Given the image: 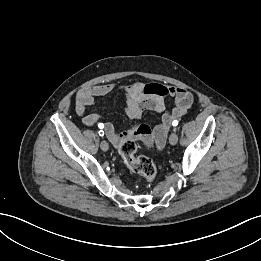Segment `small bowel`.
Masks as SVG:
<instances>
[{
  "label": "small bowel",
  "instance_id": "small-bowel-1",
  "mask_svg": "<svg viewBox=\"0 0 261 261\" xmlns=\"http://www.w3.org/2000/svg\"><path fill=\"white\" fill-rule=\"evenodd\" d=\"M115 91L123 95L126 114L136 122L131 129L120 133L115 130L113 124L102 123L107 138L115 146L120 145L126 138L139 137L156 147H162L171 122L183 116L193 103L192 93L182 87L141 81L122 86L113 83L98 84L84 88L76 95L75 110L84 125L93 126L100 121L99 114H87V108L95 103V99ZM167 97L175 100V106L172 110L164 112ZM144 111L164 112V114L161 121L150 129L139 123Z\"/></svg>",
  "mask_w": 261,
  "mask_h": 261
}]
</instances>
